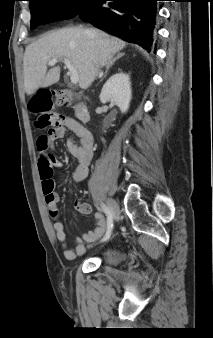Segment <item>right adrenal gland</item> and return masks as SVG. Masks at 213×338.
Here are the masks:
<instances>
[{"label":"right adrenal gland","instance_id":"1","mask_svg":"<svg viewBox=\"0 0 213 338\" xmlns=\"http://www.w3.org/2000/svg\"><path fill=\"white\" fill-rule=\"evenodd\" d=\"M122 56H124V53H119L115 58H113L112 60H110V61L106 64V70H105V73H104V74L101 73L100 76H99L100 81H102V80L106 77V75H107L109 69H110V68L114 65V63H115L119 58H121Z\"/></svg>","mask_w":213,"mask_h":338}]
</instances>
